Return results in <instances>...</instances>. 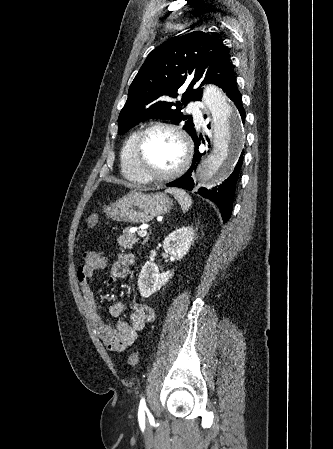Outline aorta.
I'll list each match as a JSON object with an SVG mask.
<instances>
[{
    "mask_svg": "<svg viewBox=\"0 0 333 449\" xmlns=\"http://www.w3.org/2000/svg\"><path fill=\"white\" fill-rule=\"evenodd\" d=\"M203 100L212 116L213 149L198 162L194 178L196 183L211 188L236 159L243 136L236 108L221 89H205Z\"/></svg>",
    "mask_w": 333,
    "mask_h": 449,
    "instance_id": "aorta-1",
    "label": "aorta"
}]
</instances>
